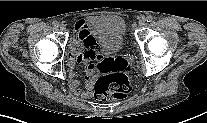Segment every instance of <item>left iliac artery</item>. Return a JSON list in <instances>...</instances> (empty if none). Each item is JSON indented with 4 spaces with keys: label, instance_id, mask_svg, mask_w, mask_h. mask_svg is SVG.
Returning a JSON list of instances; mask_svg holds the SVG:
<instances>
[{
    "label": "left iliac artery",
    "instance_id": "left-iliac-artery-1",
    "mask_svg": "<svg viewBox=\"0 0 207 123\" xmlns=\"http://www.w3.org/2000/svg\"><path fill=\"white\" fill-rule=\"evenodd\" d=\"M152 20H153V16H151V15L147 16V18H146L147 22H151Z\"/></svg>",
    "mask_w": 207,
    "mask_h": 123
}]
</instances>
